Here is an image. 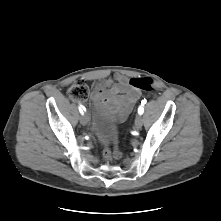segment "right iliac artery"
I'll return each mask as SVG.
<instances>
[{
	"label": "right iliac artery",
	"mask_w": 221,
	"mask_h": 221,
	"mask_svg": "<svg viewBox=\"0 0 221 221\" xmlns=\"http://www.w3.org/2000/svg\"><path fill=\"white\" fill-rule=\"evenodd\" d=\"M79 111H80L81 114H83L84 111H85V107L82 106V105H80V106H79Z\"/></svg>",
	"instance_id": "right-iliac-artery-1"
}]
</instances>
